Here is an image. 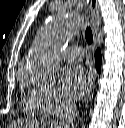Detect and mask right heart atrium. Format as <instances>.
Here are the masks:
<instances>
[{
  "label": "right heart atrium",
  "mask_w": 125,
  "mask_h": 128,
  "mask_svg": "<svg viewBox=\"0 0 125 128\" xmlns=\"http://www.w3.org/2000/svg\"><path fill=\"white\" fill-rule=\"evenodd\" d=\"M31 94L48 114L57 115L71 106V101L50 85H38Z\"/></svg>",
  "instance_id": "right-heart-atrium-1"
}]
</instances>
